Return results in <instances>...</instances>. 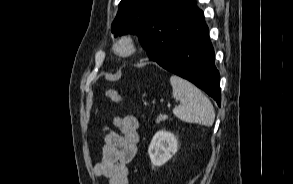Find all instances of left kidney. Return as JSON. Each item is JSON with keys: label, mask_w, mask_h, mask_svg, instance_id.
Returning a JSON list of instances; mask_svg holds the SVG:
<instances>
[{"label": "left kidney", "mask_w": 293, "mask_h": 184, "mask_svg": "<svg viewBox=\"0 0 293 184\" xmlns=\"http://www.w3.org/2000/svg\"><path fill=\"white\" fill-rule=\"evenodd\" d=\"M178 149L177 137L167 131H158L148 148L152 165L160 167L170 160Z\"/></svg>", "instance_id": "left-kidney-1"}]
</instances>
